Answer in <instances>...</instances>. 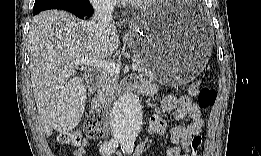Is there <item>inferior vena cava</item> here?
<instances>
[{
  "mask_svg": "<svg viewBox=\"0 0 261 156\" xmlns=\"http://www.w3.org/2000/svg\"><path fill=\"white\" fill-rule=\"evenodd\" d=\"M92 5L94 15L90 25L100 35L109 27L114 7L111 0H95Z\"/></svg>",
  "mask_w": 261,
  "mask_h": 156,
  "instance_id": "602c4592",
  "label": "inferior vena cava"
}]
</instances>
